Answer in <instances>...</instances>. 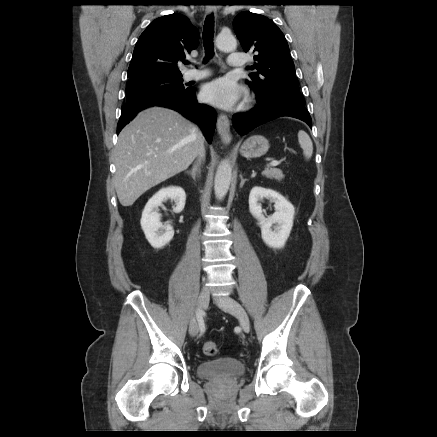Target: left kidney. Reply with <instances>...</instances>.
<instances>
[{
	"instance_id": "left-kidney-1",
	"label": "left kidney",
	"mask_w": 437,
	"mask_h": 437,
	"mask_svg": "<svg viewBox=\"0 0 437 437\" xmlns=\"http://www.w3.org/2000/svg\"><path fill=\"white\" fill-rule=\"evenodd\" d=\"M264 198L274 202L275 207V213L267 218L263 215L259 203ZM249 210L260 224L261 236L265 244L271 248H283L293 226L294 206L278 192L255 186L250 191Z\"/></svg>"
}]
</instances>
